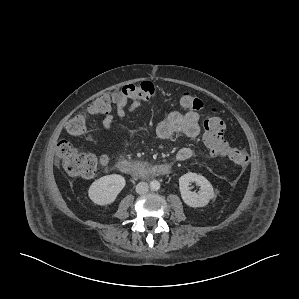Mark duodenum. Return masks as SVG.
<instances>
[{
    "instance_id": "1",
    "label": "duodenum",
    "mask_w": 299,
    "mask_h": 299,
    "mask_svg": "<svg viewBox=\"0 0 299 299\" xmlns=\"http://www.w3.org/2000/svg\"><path fill=\"white\" fill-rule=\"evenodd\" d=\"M117 168L122 174L136 177L163 176L170 172V166L167 164L149 165L125 159L118 161Z\"/></svg>"
}]
</instances>
